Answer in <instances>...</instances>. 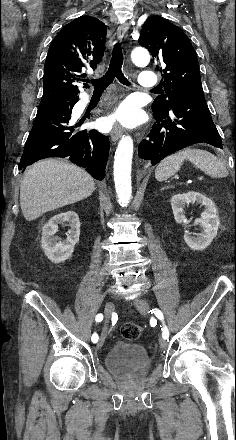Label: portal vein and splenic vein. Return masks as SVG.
Instances as JSON below:
<instances>
[{"mask_svg":"<svg viewBox=\"0 0 236 440\" xmlns=\"http://www.w3.org/2000/svg\"><path fill=\"white\" fill-rule=\"evenodd\" d=\"M203 178L202 177H199V180H202Z\"/></svg>","mask_w":236,"mask_h":440,"instance_id":"18ae733b","label":"portal vein and splenic vein"}]
</instances>
